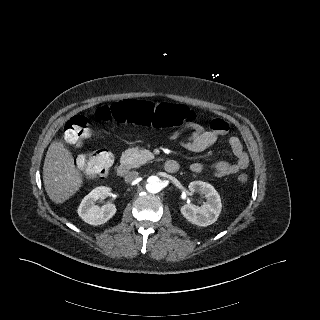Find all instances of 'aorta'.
<instances>
[{"instance_id":"obj_1","label":"aorta","mask_w":320,"mask_h":320,"mask_svg":"<svg viewBox=\"0 0 320 320\" xmlns=\"http://www.w3.org/2000/svg\"><path fill=\"white\" fill-rule=\"evenodd\" d=\"M146 189L149 193L160 192L162 189L160 179L157 176H150L147 179Z\"/></svg>"}]
</instances>
